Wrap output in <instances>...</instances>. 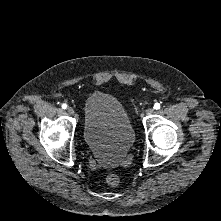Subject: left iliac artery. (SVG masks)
I'll use <instances>...</instances> for the list:
<instances>
[{
    "label": "left iliac artery",
    "mask_w": 221,
    "mask_h": 221,
    "mask_svg": "<svg viewBox=\"0 0 221 221\" xmlns=\"http://www.w3.org/2000/svg\"><path fill=\"white\" fill-rule=\"evenodd\" d=\"M160 108V103H155V105H154V109H159Z\"/></svg>",
    "instance_id": "left-iliac-artery-1"
}]
</instances>
